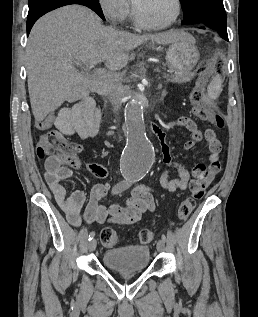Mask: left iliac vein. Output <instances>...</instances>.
I'll list each match as a JSON object with an SVG mask.
<instances>
[{
    "mask_svg": "<svg viewBox=\"0 0 258 317\" xmlns=\"http://www.w3.org/2000/svg\"><path fill=\"white\" fill-rule=\"evenodd\" d=\"M165 247H166V244H165V241L164 240H159L158 243H157V248H156V251L159 253L160 251H165Z\"/></svg>",
    "mask_w": 258,
    "mask_h": 317,
    "instance_id": "4c4485c4",
    "label": "left iliac vein"
}]
</instances>
